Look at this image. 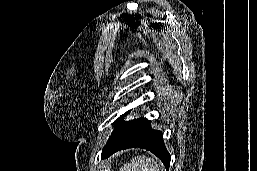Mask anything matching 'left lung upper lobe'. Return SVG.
Masks as SVG:
<instances>
[{"instance_id": "1", "label": "left lung upper lobe", "mask_w": 257, "mask_h": 171, "mask_svg": "<svg viewBox=\"0 0 257 171\" xmlns=\"http://www.w3.org/2000/svg\"><path fill=\"white\" fill-rule=\"evenodd\" d=\"M129 112H126L124 115H121L113 124L115 125L114 131L112 132L108 141L116 138L121 132H123L132 121H123V117L127 115Z\"/></svg>"}]
</instances>
